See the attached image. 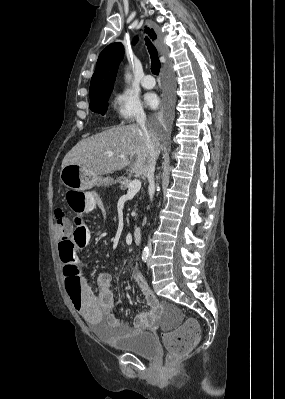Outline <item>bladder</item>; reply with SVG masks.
Listing matches in <instances>:
<instances>
[{
	"instance_id": "1",
	"label": "bladder",
	"mask_w": 285,
	"mask_h": 399,
	"mask_svg": "<svg viewBox=\"0 0 285 399\" xmlns=\"http://www.w3.org/2000/svg\"><path fill=\"white\" fill-rule=\"evenodd\" d=\"M90 325L97 335L103 336L100 322H90ZM107 341L124 352L133 353L143 358L153 359L159 354L158 342L155 336L149 332L132 331L128 336H111L107 338Z\"/></svg>"
}]
</instances>
